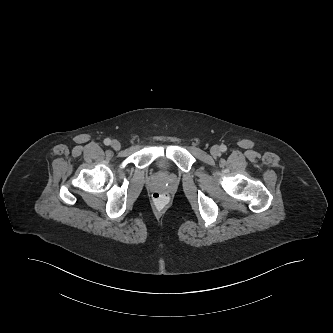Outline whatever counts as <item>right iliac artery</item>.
Instances as JSON below:
<instances>
[{"instance_id": "82829eb1", "label": "right iliac artery", "mask_w": 333, "mask_h": 333, "mask_svg": "<svg viewBox=\"0 0 333 333\" xmlns=\"http://www.w3.org/2000/svg\"><path fill=\"white\" fill-rule=\"evenodd\" d=\"M104 144H105V145H110V144H111V140H110L109 138H106V139L104 140Z\"/></svg>"}]
</instances>
